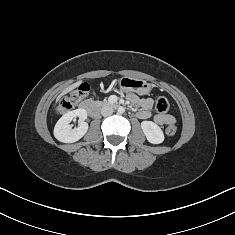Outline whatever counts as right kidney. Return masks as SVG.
Instances as JSON below:
<instances>
[{"label":"right kidney","mask_w":235,"mask_h":235,"mask_svg":"<svg viewBox=\"0 0 235 235\" xmlns=\"http://www.w3.org/2000/svg\"><path fill=\"white\" fill-rule=\"evenodd\" d=\"M79 117V126L72 129L70 122ZM87 111L85 109H76L64 114L54 127V136L63 143H73L81 139L88 130Z\"/></svg>","instance_id":"ca27d5eb"}]
</instances>
